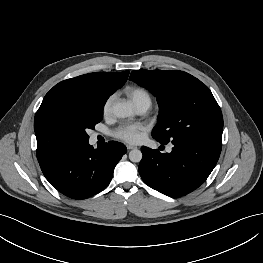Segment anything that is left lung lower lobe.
<instances>
[{"label": "left lung lower lobe", "mask_w": 263, "mask_h": 263, "mask_svg": "<svg viewBox=\"0 0 263 263\" xmlns=\"http://www.w3.org/2000/svg\"><path fill=\"white\" fill-rule=\"evenodd\" d=\"M172 144L170 153L143 146L139 173L151 188L167 196L181 197L208 178L219 159L222 140H178Z\"/></svg>", "instance_id": "0a47b994"}]
</instances>
